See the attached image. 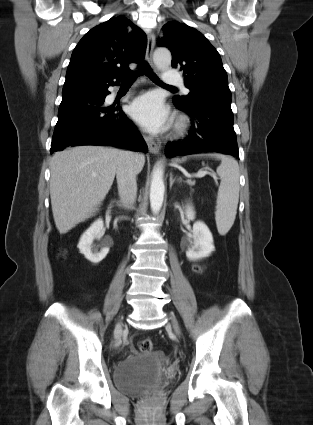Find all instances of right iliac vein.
Masks as SVG:
<instances>
[{"mask_svg": "<svg viewBox=\"0 0 313 425\" xmlns=\"http://www.w3.org/2000/svg\"><path fill=\"white\" fill-rule=\"evenodd\" d=\"M120 328H121V325L120 324H117L116 329L118 330Z\"/></svg>", "mask_w": 313, "mask_h": 425, "instance_id": "1", "label": "right iliac vein"}]
</instances>
